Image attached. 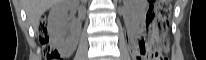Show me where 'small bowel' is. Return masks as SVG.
<instances>
[{"mask_svg":"<svg viewBox=\"0 0 206 60\" xmlns=\"http://www.w3.org/2000/svg\"><path fill=\"white\" fill-rule=\"evenodd\" d=\"M136 50H137L136 47H134V48H133V53H134Z\"/></svg>","mask_w":206,"mask_h":60,"instance_id":"obj_1","label":"small bowel"}]
</instances>
